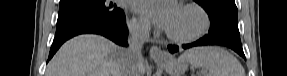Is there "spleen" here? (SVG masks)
<instances>
[{
  "label": "spleen",
  "instance_id": "3e777b00",
  "mask_svg": "<svg viewBox=\"0 0 287 76\" xmlns=\"http://www.w3.org/2000/svg\"><path fill=\"white\" fill-rule=\"evenodd\" d=\"M179 60L189 62L191 69L207 68V76H245L241 63L222 47H195L185 51Z\"/></svg>",
  "mask_w": 287,
  "mask_h": 76
}]
</instances>
